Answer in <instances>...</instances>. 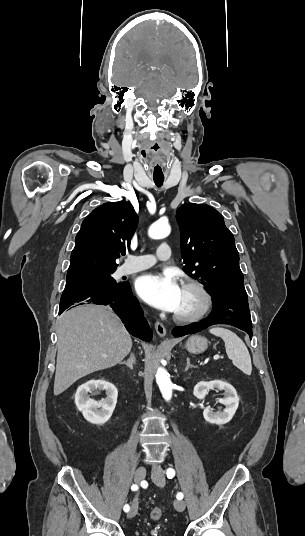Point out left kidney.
<instances>
[{
  "label": "left kidney",
  "instance_id": "left-kidney-1",
  "mask_svg": "<svg viewBox=\"0 0 305 536\" xmlns=\"http://www.w3.org/2000/svg\"><path fill=\"white\" fill-rule=\"evenodd\" d=\"M212 388L224 390L226 398H220L219 402L220 404H224L226 408L223 412H213L212 408L207 406V408H204L203 416L206 422H210V424H219V426L220 424H227V422L232 420L239 406L237 392L231 384L221 382V380H213V382H199V384H196L193 394L198 400H204L208 394V390H212Z\"/></svg>",
  "mask_w": 305,
  "mask_h": 536
}]
</instances>
